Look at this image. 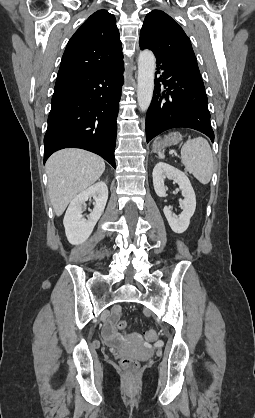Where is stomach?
Listing matches in <instances>:
<instances>
[{"label":"stomach","instance_id":"1","mask_svg":"<svg viewBox=\"0 0 255 418\" xmlns=\"http://www.w3.org/2000/svg\"><path fill=\"white\" fill-rule=\"evenodd\" d=\"M180 140H181V137L179 133H171L167 136V138L165 139V141H163V143L161 144L159 143L158 145L154 144V149L160 150L161 148H164L165 146L177 144Z\"/></svg>","mask_w":255,"mask_h":418}]
</instances>
